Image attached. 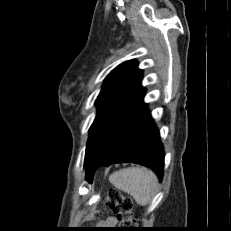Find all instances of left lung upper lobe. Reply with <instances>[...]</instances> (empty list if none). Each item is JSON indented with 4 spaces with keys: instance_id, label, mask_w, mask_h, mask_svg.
<instances>
[{
    "instance_id": "obj_1",
    "label": "left lung upper lobe",
    "mask_w": 231,
    "mask_h": 231,
    "mask_svg": "<svg viewBox=\"0 0 231 231\" xmlns=\"http://www.w3.org/2000/svg\"><path fill=\"white\" fill-rule=\"evenodd\" d=\"M142 71L137 69V62L130 60L117 66L107 77L96 104L97 116L90 127L85 161L109 123L142 89Z\"/></svg>"
}]
</instances>
